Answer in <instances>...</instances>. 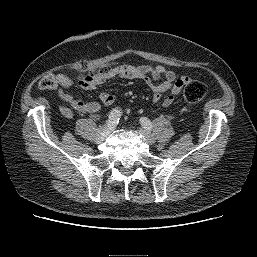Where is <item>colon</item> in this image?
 <instances>
[{
	"label": "colon",
	"instance_id": "colon-1",
	"mask_svg": "<svg viewBox=\"0 0 257 257\" xmlns=\"http://www.w3.org/2000/svg\"><path fill=\"white\" fill-rule=\"evenodd\" d=\"M109 68H101L98 70H93L82 77V82H91L97 78H100L107 74ZM57 85L56 78L53 74L45 75L39 82V86L41 89H53ZM207 88L205 84L200 81L190 80L188 81L183 89V97L185 101L189 103H197L200 102L206 95Z\"/></svg>",
	"mask_w": 257,
	"mask_h": 257
}]
</instances>
